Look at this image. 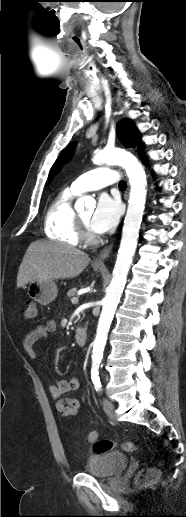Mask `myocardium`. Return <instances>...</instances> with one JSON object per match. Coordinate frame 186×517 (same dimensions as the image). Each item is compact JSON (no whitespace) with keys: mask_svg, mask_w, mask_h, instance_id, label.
Returning <instances> with one entry per match:
<instances>
[{"mask_svg":"<svg viewBox=\"0 0 186 517\" xmlns=\"http://www.w3.org/2000/svg\"><path fill=\"white\" fill-rule=\"evenodd\" d=\"M78 224L80 241H83L86 244H95L99 241L98 236L92 232L81 216H78Z\"/></svg>","mask_w":186,"mask_h":517,"instance_id":"1","label":"myocardium"}]
</instances>
